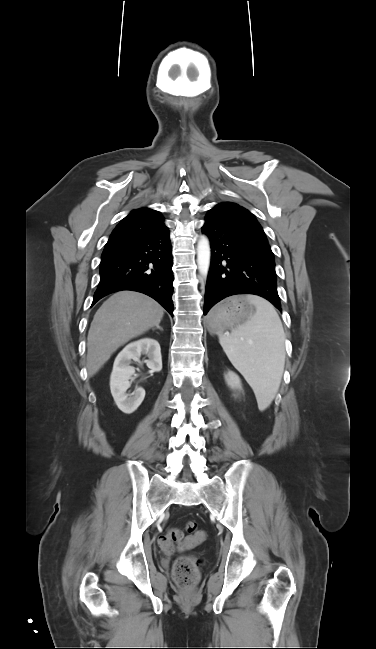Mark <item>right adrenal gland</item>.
Here are the masks:
<instances>
[{
    "label": "right adrenal gland",
    "mask_w": 376,
    "mask_h": 649,
    "mask_svg": "<svg viewBox=\"0 0 376 649\" xmlns=\"http://www.w3.org/2000/svg\"><path fill=\"white\" fill-rule=\"evenodd\" d=\"M156 328L159 329L160 331H163V328H161L159 325H157ZM152 330H155V328H152Z\"/></svg>",
    "instance_id": "right-adrenal-gland-1"
}]
</instances>
